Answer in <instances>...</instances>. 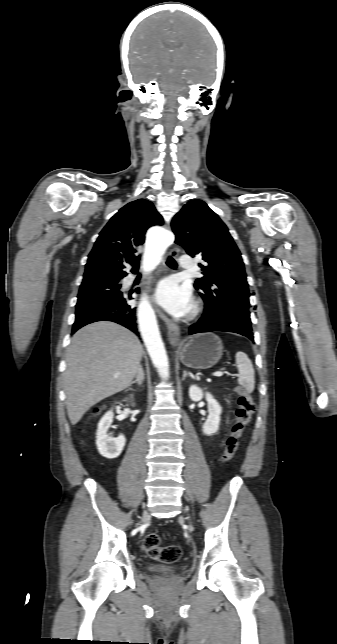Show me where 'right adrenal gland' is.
<instances>
[{
  "mask_svg": "<svg viewBox=\"0 0 337 644\" xmlns=\"http://www.w3.org/2000/svg\"><path fill=\"white\" fill-rule=\"evenodd\" d=\"M143 381H144V373H143V370L140 368V370H139V372H138V374L136 376V379L131 382L130 386L132 384H135V383H137L139 386H141L143 384Z\"/></svg>",
  "mask_w": 337,
  "mask_h": 644,
  "instance_id": "2a0ac1e0",
  "label": "right adrenal gland"
}]
</instances>
